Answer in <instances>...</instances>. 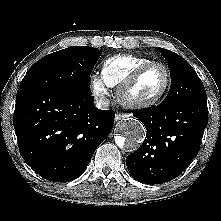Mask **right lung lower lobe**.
I'll list each match as a JSON object with an SVG mask.
<instances>
[{
	"mask_svg": "<svg viewBox=\"0 0 221 221\" xmlns=\"http://www.w3.org/2000/svg\"><path fill=\"white\" fill-rule=\"evenodd\" d=\"M93 101L91 95L19 88L13 117L19 151L40 176L68 182L83 174L115 117Z\"/></svg>",
	"mask_w": 221,
	"mask_h": 221,
	"instance_id": "obj_1",
	"label": "right lung lower lobe"
}]
</instances>
